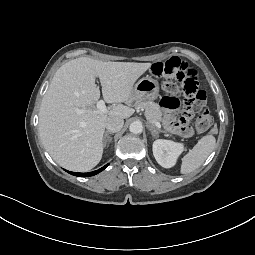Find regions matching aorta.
Instances as JSON below:
<instances>
[{
  "mask_svg": "<svg viewBox=\"0 0 255 255\" xmlns=\"http://www.w3.org/2000/svg\"><path fill=\"white\" fill-rule=\"evenodd\" d=\"M129 130L133 134H140L143 131V126L140 122H132L129 126Z\"/></svg>",
  "mask_w": 255,
  "mask_h": 255,
  "instance_id": "762f6f07",
  "label": "aorta"
}]
</instances>
